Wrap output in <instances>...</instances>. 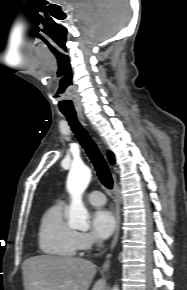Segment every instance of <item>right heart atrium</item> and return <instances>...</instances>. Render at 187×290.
Masks as SVG:
<instances>
[{
    "label": "right heart atrium",
    "mask_w": 187,
    "mask_h": 290,
    "mask_svg": "<svg viewBox=\"0 0 187 290\" xmlns=\"http://www.w3.org/2000/svg\"><path fill=\"white\" fill-rule=\"evenodd\" d=\"M76 238L79 249L83 251L89 250L97 243L95 237L89 233L78 232Z\"/></svg>",
    "instance_id": "d8ad5b80"
}]
</instances>
